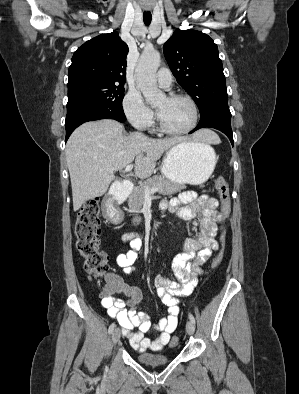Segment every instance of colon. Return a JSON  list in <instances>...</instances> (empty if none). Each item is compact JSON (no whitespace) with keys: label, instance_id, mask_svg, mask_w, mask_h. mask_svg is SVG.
I'll return each mask as SVG.
<instances>
[{"label":"colon","instance_id":"5ec220e1","mask_svg":"<svg viewBox=\"0 0 299 394\" xmlns=\"http://www.w3.org/2000/svg\"><path fill=\"white\" fill-rule=\"evenodd\" d=\"M215 186L221 202V215L225 220L231 212L230 190L227 181L218 177ZM100 200L98 197L89 199L79 210L75 222L76 247L83 258V268L89 275L105 281V287L101 291L103 298H110L119 287L118 279L110 273L107 254L100 250ZM223 246L225 235L220 236ZM222 261V249L212 262V268H216ZM177 338L171 340V345L177 344Z\"/></svg>","mask_w":299,"mask_h":394}]
</instances>
